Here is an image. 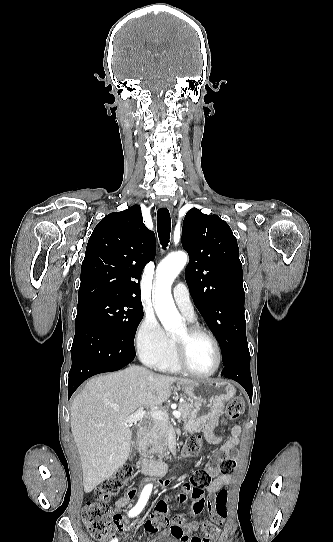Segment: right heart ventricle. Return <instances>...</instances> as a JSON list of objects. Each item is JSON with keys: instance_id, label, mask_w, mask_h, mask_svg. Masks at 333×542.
I'll return each instance as SVG.
<instances>
[{"instance_id": "1", "label": "right heart ventricle", "mask_w": 333, "mask_h": 542, "mask_svg": "<svg viewBox=\"0 0 333 542\" xmlns=\"http://www.w3.org/2000/svg\"><path fill=\"white\" fill-rule=\"evenodd\" d=\"M170 340V345L161 353H158L153 356L144 358V362L155 369L168 372H177L180 370L176 364L173 355H172V342Z\"/></svg>"}]
</instances>
